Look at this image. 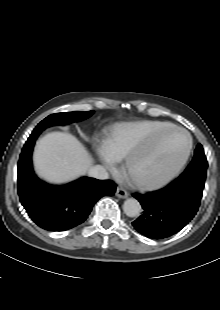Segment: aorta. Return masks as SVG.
<instances>
[{
  "mask_svg": "<svg viewBox=\"0 0 220 310\" xmlns=\"http://www.w3.org/2000/svg\"><path fill=\"white\" fill-rule=\"evenodd\" d=\"M123 211L128 217H136L141 212V205L138 200L128 198L123 204Z\"/></svg>",
  "mask_w": 220,
  "mask_h": 310,
  "instance_id": "1",
  "label": "aorta"
}]
</instances>
